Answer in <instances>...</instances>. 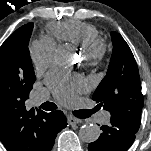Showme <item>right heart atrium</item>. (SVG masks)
Segmentation results:
<instances>
[{
  "mask_svg": "<svg viewBox=\"0 0 151 151\" xmlns=\"http://www.w3.org/2000/svg\"><path fill=\"white\" fill-rule=\"evenodd\" d=\"M54 45L47 40H35L29 47L30 58L37 69L49 66L53 59Z\"/></svg>",
  "mask_w": 151,
  "mask_h": 151,
  "instance_id": "1",
  "label": "right heart atrium"
}]
</instances>
